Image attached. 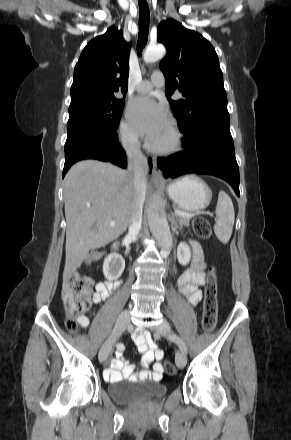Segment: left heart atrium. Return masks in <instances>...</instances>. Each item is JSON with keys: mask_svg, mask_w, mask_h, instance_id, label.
<instances>
[{"mask_svg": "<svg viewBox=\"0 0 291 440\" xmlns=\"http://www.w3.org/2000/svg\"><path fill=\"white\" fill-rule=\"evenodd\" d=\"M128 117L134 130L150 142L155 141L169 127L164 106L148 96L132 100Z\"/></svg>", "mask_w": 291, "mask_h": 440, "instance_id": "obj_1", "label": "left heart atrium"}]
</instances>
